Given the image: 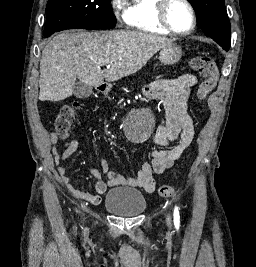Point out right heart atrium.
Instances as JSON below:
<instances>
[{
  "label": "right heart atrium",
  "instance_id": "obj_1",
  "mask_svg": "<svg viewBox=\"0 0 256 267\" xmlns=\"http://www.w3.org/2000/svg\"><path fill=\"white\" fill-rule=\"evenodd\" d=\"M116 22H121L122 25H132L131 12L126 11L124 13H116Z\"/></svg>",
  "mask_w": 256,
  "mask_h": 267
}]
</instances>
